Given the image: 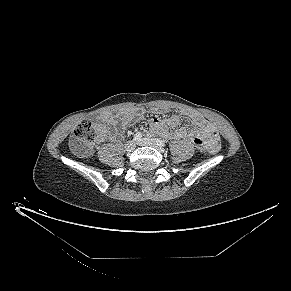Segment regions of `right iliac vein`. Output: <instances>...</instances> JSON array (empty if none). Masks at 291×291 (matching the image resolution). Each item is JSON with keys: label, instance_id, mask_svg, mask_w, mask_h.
Returning <instances> with one entry per match:
<instances>
[{"label": "right iliac vein", "instance_id": "63e3f726", "mask_svg": "<svg viewBox=\"0 0 291 291\" xmlns=\"http://www.w3.org/2000/svg\"><path fill=\"white\" fill-rule=\"evenodd\" d=\"M136 147V143L134 140L128 141L125 145V149L127 152H132Z\"/></svg>", "mask_w": 291, "mask_h": 291}]
</instances>
